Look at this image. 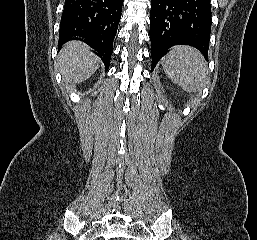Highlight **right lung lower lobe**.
<instances>
[{
  "label": "right lung lower lobe",
  "mask_w": 257,
  "mask_h": 240,
  "mask_svg": "<svg viewBox=\"0 0 257 240\" xmlns=\"http://www.w3.org/2000/svg\"><path fill=\"white\" fill-rule=\"evenodd\" d=\"M123 1L65 0L58 47L73 40L74 36L82 37L87 45L98 52L108 69Z\"/></svg>",
  "instance_id": "98d812e1"
}]
</instances>
